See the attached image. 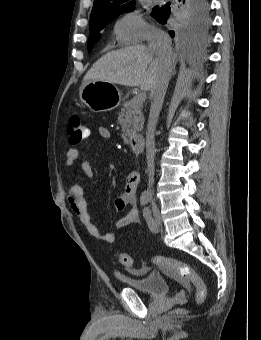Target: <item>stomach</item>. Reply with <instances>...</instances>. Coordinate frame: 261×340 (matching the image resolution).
<instances>
[{"mask_svg":"<svg viewBox=\"0 0 261 340\" xmlns=\"http://www.w3.org/2000/svg\"><path fill=\"white\" fill-rule=\"evenodd\" d=\"M79 98L93 112H107L119 106L122 93L109 82L90 80L80 89Z\"/></svg>","mask_w":261,"mask_h":340,"instance_id":"1","label":"stomach"}]
</instances>
